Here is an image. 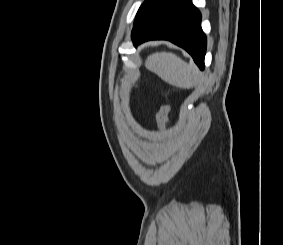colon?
<instances>
[{
  "label": "colon",
  "mask_w": 283,
  "mask_h": 245,
  "mask_svg": "<svg viewBox=\"0 0 283 245\" xmlns=\"http://www.w3.org/2000/svg\"><path fill=\"white\" fill-rule=\"evenodd\" d=\"M169 114H170V107L167 104H163L159 107L157 113H156V122L160 129H165L168 120H169Z\"/></svg>",
  "instance_id": "5ec220e1"
}]
</instances>
